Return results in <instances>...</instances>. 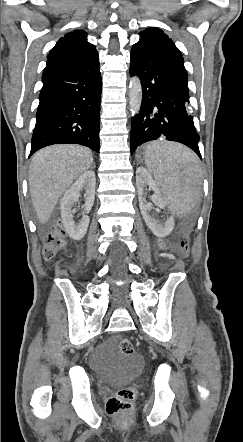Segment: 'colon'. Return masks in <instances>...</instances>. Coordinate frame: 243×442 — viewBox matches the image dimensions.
<instances>
[{
    "mask_svg": "<svg viewBox=\"0 0 243 442\" xmlns=\"http://www.w3.org/2000/svg\"><path fill=\"white\" fill-rule=\"evenodd\" d=\"M171 238L169 233L162 235L158 241H168ZM66 243L65 233L60 225L48 234L43 249L42 256L45 260H50L62 249ZM172 243L175 244V256H190L193 251L195 243L191 237L175 236L172 238ZM160 251H164V244L159 243ZM167 253L173 252L172 246L166 247ZM119 349L122 354L130 355L134 352V347L131 341L123 338L119 342ZM136 390L134 387H126L114 393L106 403V411L109 415L118 418H127L131 410L132 401L135 398Z\"/></svg>",
    "mask_w": 243,
    "mask_h": 442,
    "instance_id": "colon-1",
    "label": "colon"
}]
</instances>
